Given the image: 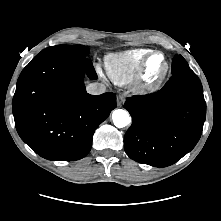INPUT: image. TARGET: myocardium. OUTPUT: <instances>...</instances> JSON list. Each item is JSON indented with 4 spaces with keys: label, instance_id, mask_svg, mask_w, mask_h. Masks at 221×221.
Instances as JSON below:
<instances>
[{
    "label": "myocardium",
    "instance_id": "1",
    "mask_svg": "<svg viewBox=\"0 0 221 221\" xmlns=\"http://www.w3.org/2000/svg\"><path fill=\"white\" fill-rule=\"evenodd\" d=\"M155 55H161L164 59V69L160 74H158L154 78H150L148 76V64L150 59ZM170 69L169 61L166 55L158 50L150 51L146 57L142 60L138 72L135 76L137 88L143 92H153L156 91L161 84L163 83L164 79L166 78Z\"/></svg>",
    "mask_w": 221,
    "mask_h": 221
}]
</instances>
